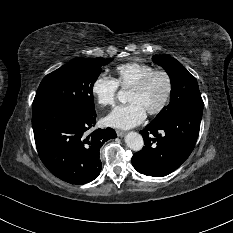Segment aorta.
Wrapping results in <instances>:
<instances>
[{"mask_svg":"<svg viewBox=\"0 0 233 233\" xmlns=\"http://www.w3.org/2000/svg\"><path fill=\"white\" fill-rule=\"evenodd\" d=\"M117 98L121 103L127 102V92L123 89L117 93ZM126 145L133 151H140L143 148L144 142L142 136L137 132H129L125 137Z\"/></svg>","mask_w":233,"mask_h":233,"instance_id":"762f6f07","label":"aorta"}]
</instances>
